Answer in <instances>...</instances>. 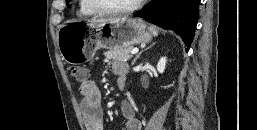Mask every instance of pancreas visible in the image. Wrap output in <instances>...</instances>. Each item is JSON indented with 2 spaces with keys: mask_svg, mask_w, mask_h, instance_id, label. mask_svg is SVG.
<instances>
[{
  "mask_svg": "<svg viewBox=\"0 0 257 130\" xmlns=\"http://www.w3.org/2000/svg\"><path fill=\"white\" fill-rule=\"evenodd\" d=\"M133 50L132 46L118 48V49H112L110 51L104 52V56L107 59L115 61H123V60H129L132 55L131 51Z\"/></svg>",
  "mask_w": 257,
  "mask_h": 130,
  "instance_id": "obj_1",
  "label": "pancreas"
}]
</instances>
